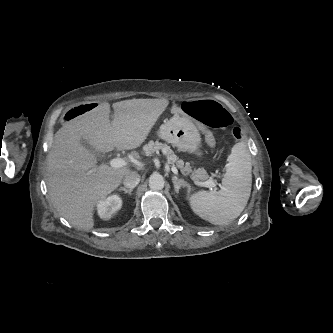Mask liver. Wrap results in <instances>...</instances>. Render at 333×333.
<instances>
[{
  "mask_svg": "<svg viewBox=\"0 0 333 333\" xmlns=\"http://www.w3.org/2000/svg\"><path fill=\"white\" fill-rule=\"evenodd\" d=\"M166 99H131L110 104L67 121L55 133L47 158L46 184L55 209L73 226L89 231L94 227L96 204L114 191L128 167H96L95 154L81 144L87 140L101 153L136 149L146 140L157 119L165 111Z\"/></svg>",
  "mask_w": 333,
  "mask_h": 333,
  "instance_id": "liver-1",
  "label": "liver"
}]
</instances>
